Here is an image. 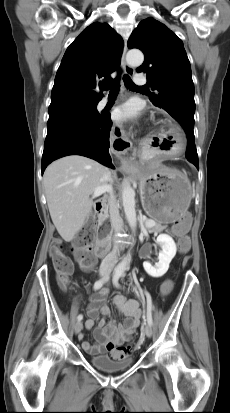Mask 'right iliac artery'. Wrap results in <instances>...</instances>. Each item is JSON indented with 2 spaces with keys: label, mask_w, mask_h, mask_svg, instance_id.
Listing matches in <instances>:
<instances>
[{
  "label": "right iliac artery",
  "mask_w": 230,
  "mask_h": 413,
  "mask_svg": "<svg viewBox=\"0 0 230 413\" xmlns=\"http://www.w3.org/2000/svg\"><path fill=\"white\" fill-rule=\"evenodd\" d=\"M108 279H109V276H107V277H105V278H102V279L96 281V282L94 283V289H95V290L100 289V288L103 286V284H104ZM82 318H83V316L80 314V315H78L77 320H78V321H81Z\"/></svg>",
  "instance_id": "obj_1"
}]
</instances>
